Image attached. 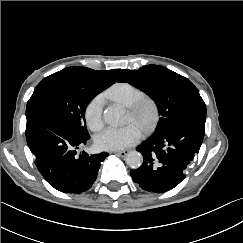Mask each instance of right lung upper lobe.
Wrapping results in <instances>:
<instances>
[{"label": "right lung upper lobe", "instance_id": "1", "mask_svg": "<svg viewBox=\"0 0 243 243\" xmlns=\"http://www.w3.org/2000/svg\"><path fill=\"white\" fill-rule=\"evenodd\" d=\"M64 71L72 74V77L77 84L86 87L104 86L107 88L116 82L123 69L95 71L86 67L72 66L69 68H65Z\"/></svg>", "mask_w": 243, "mask_h": 243}]
</instances>
